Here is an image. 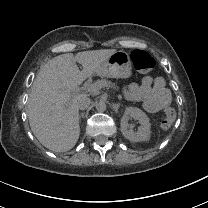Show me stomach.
Listing matches in <instances>:
<instances>
[{
  "mask_svg": "<svg viewBox=\"0 0 208 208\" xmlns=\"http://www.w3.org/2000/svg\"><path fill=\"white\" fill-rule=\"evenodd\" d=\"M97 73L110 78L124 80L131 78L132 64L129 54L122 50L116 51L103 62Z\"/></svg>",
  "mask_w": 208,
  "mask_h": 208,
  "instance_id": "0dacf381",
  "label": "stomach"
}]
</instances>
